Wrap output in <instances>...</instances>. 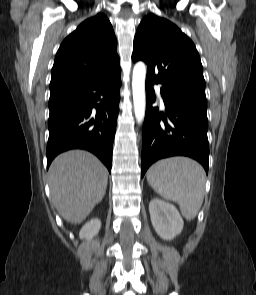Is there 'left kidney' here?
<instances>
[{
	"label": "left kidney",
	"mask_w": 256,
	"mask_h": 295,
	"mask_svg": "<svg viewBox=\"0 0 256 295\" xmlns=\"http://www.w3.org/2000/svg\"><path fill=\"white\" fill-rule=\"evenodd\" d=\"M152 225L156 233L164 240H172L181 233L184 221L177 208L160 199L149 204Z\"/></svg>",
	"instance_id": "obj_1"
}]
</instances>
